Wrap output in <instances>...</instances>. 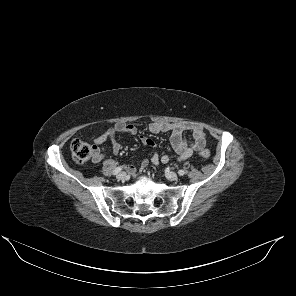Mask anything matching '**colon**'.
Returning a JSON list of instances; mask_svg holds the SVG:
<instances>
[{"label": "colon", "instance_id": "1", "mask_svg": "<svg viewBox=\"0 0 296 296\" xmlns=\"http://www.w3.org/2000/svg\"><path fill=\"white\" fill-rule=\"evenodd\" d=\"M70 151L74 161L79 164L86 163L97 156V151L94 147L79 139H75L71 142ZM199 154L203 159H208L210 157V151L207 149L201 150Z\"/></svg>", "mask_w": 296, "mask_h": 296}]
</instances>
